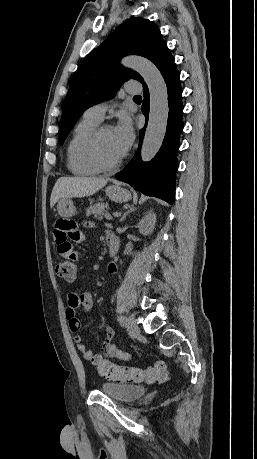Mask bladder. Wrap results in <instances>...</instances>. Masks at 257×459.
<instances>
[{"instance_id": "1", "label": "bladder", "mask_w": 257, "mask_h": 459, "mask_svg": "<svg viewBox=\"0 0 257 459\" xmlns=\"http://www.w3.org/2000/svg\"><path fill=\"white\" fill-rule=\"evenodd\" d=\"M100 390L111 398L123 403L137 400L146 393V388L140 385L112 382L102 383Z\"/></svg>"}]
</instances>
